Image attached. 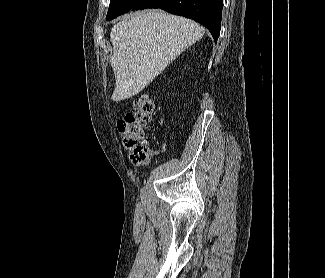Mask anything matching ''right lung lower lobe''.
<instances>
[{
    "label": "right lung lower lobe",
    "mask_w": 325,
    "mask_h": 278,
    "mask_svg": "<svg viewBox=\"0 0 325 278\" xmlns=\"http://www.w3.org/2000/svg\"><path fill=\"white\" fill-rule=\"evenodd\" d=\"M223 0H136L131 10L161 8L169 13L193 19L208 28L217 41Z\"/></svg>",
    "instance_id": "98d812e1"
}]
</instances>
